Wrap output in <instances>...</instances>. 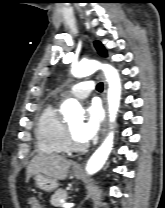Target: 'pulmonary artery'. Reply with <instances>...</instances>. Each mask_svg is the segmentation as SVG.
Segmentation results:
<instances>
[{
	"instance_id": "e3ab8cb5",
	"label": "pulmonary artery",
	"mask_w": 165,
	"mask_h": 208,
	"mask_svg": "<svg viewBox=\"0 0 165 208\" xmlns=\"http://www.w3.org/2000/svg\"><path fill=\"white\" fill-rule=\"evenodd\" d=\"M95 84L93 81H83L74 85L68 93L64 94L63 97H74L77 99L87 98L93 89Z\"/></svg>"
}]
</instances>
